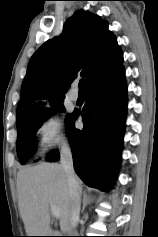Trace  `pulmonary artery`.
Here are the masks:
<instances>
[{"mask_svg":"<svg viewBox=\"0 0 158 237\" xmlns=\"http://www.w3.org/2000/svg\"><path fill=\"white\" fill-rule=\"evenodd\" d=\"M69 98H70L71 101H77L78 98H79L78 92H77V91H74V90L71 91V92L69 93Z\"/></svg>","mask_w":158,"mask_h":237,"instance_id":"1","label":"pulmonary artery"}]
</instances>
